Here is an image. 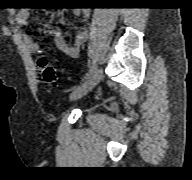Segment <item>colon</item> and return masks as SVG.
<instances>
[{
  "label": "colon",
  "mask_w": 192,
  "mask_h": 180,
  "mask_svg": "<svg viewBox=\"0 0 192 180\" xmlns=\"http://www.w3.org/2000/svg\"><path fill=\"white\" fill-rule=\"evenodd\" d=\"M38 67L43 80L48 84H54L57 81V74L52 65L43 57L38 60Z\"/></svg>",
  "instance_id": "colon-1"
}]
</instances>
